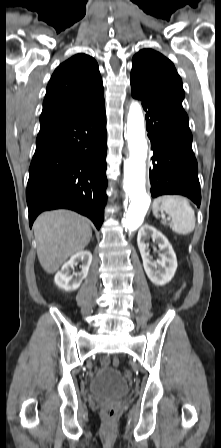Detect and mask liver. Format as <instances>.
I'll return each instance as SVG.
<instances>
[{"label": "liver", "mask_w": 221, "mask_h": 448, "mask_svg": "<svg viewBox=\"0 0 221 448\" xmlns=\"http://www.w3.org/2000/svg\"><path fill=\"white\" fill-rule=\"evenodd\" d=\"M37 256L49 274L56 272L66 260L82 251L90 242V221L72 211L44 212L34 223Z\"/></svg>", "instance_id": "obj_1"}]
</instances>
